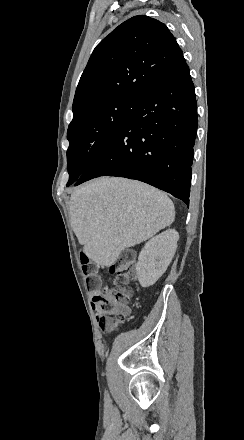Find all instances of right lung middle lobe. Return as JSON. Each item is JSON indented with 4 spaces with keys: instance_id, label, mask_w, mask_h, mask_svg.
Returning a JSON list of instances; mask_svg holds the SVG:
<instances>
[{
    "instance_id": "dd1d6c3e",
    "label": "right lung middle lobe",
    "mask_w": 244,
    "mask_h": 440,
    "mask_svg": "<svg viewBox=\"0 0 244 440\" xmlns=\"http://www.w3.org/2000/svg\"><path fill=\"white\" fill-rule=\"evenodd\" d=\"M141 97H111L73 108V120L67 131V186L83 174L109 140L127 122Z\"/></svg>"
}]
</instances>
